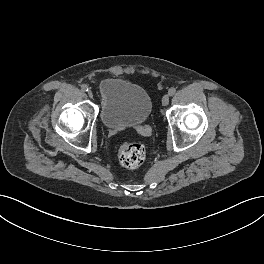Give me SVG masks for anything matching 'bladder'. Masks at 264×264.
<instances>
[{
	"label": "bladder",
	"mask_w": 264,
	"mask_h": 264,
	"mask_svg": "<svg viewBox=\"0 0 264 264\" xmlns=\"http://www.w3.org/2000/svg\"><path fill=\"white\" fill-rule=\"evenodd\" d=\"M100 116L109 129L134 127L146 122L152 110L149 93L133 82L108 78L99 85Z\"/></svg>",
	"instance_id": "31cf9c89"
}]
</instances>
